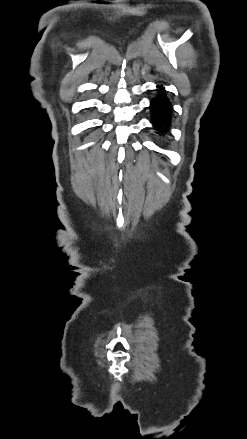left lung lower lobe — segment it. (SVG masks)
<instances>
[{"instance_id": "0a47b994", "label": "left lung lower lobe", "mask_w": 247, "mask_h": 439, "mask_svg": "<svg viewBox=\"0 0 247 439\" xmlns=\"http://www.w3.org/2000/svg\"><path fill=\"white\" fill-rule=\"evenodd\" d=\"M157 87L161 88L160 91L162 93L165 92L162 86ZM150 107L152 109L154 125L159 129L167 128L170 123V104L168 100L165 97L159 96L152 100Z\"/></svg>"}]
</instances>
